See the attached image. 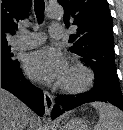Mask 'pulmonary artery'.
Masks as SVG:
<instances>
[{
  "instance_id": "1",
  "label": "pulmonary artery",
  "mask_w": 123,
  "mask_h": 130,
  "mask_svg": "<svg viewBox=\"0 0 123 130\" xmlns=\"http://www.w3.org/2000/svg\"><path fill=\"white\" fill-rule=\"evenodd\" d=\"M50 36L54 39H60L64 35L63 26L60 24H52L49 30ZM45 41L43 33H24L21 34L13 43L12 46L16 50L34 48L41 45Z\"/></svg>"
}]
</instances>
